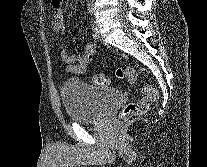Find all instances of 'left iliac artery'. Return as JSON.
Returning a JSON list of instances; mask_svg holds the SVG:
<instances>
[{
  "instance_id": "1",
  "label": "left iliac artery",
  "mask_w": 207,
  "mask_h": 167,
  "mask_svg": "<svg viewBox=\"0 0 207 167\" xmlns=\"http://www.w3.org/2000/svg\"><path fill=\"white\" fill-rule=\"evenodd\" d=\"M93 10H94V4H93V2L89 1L88 2V12L90 14H92Z\"/></svg>"
}]
</instances>
